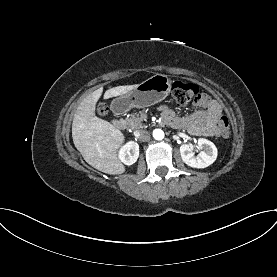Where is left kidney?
<instances>
[{"instance_id": "left-kidney-1", "label": "left kidney", "mask_w": 277, "mask_h": 277, "mask_svg": "<svg viewBox=\"0 0 277 277\" xmlns=\"http://www.w3.org/2000/svg\"><path fill=\"white\" fill-rule=\"evenodd\" d=\"M198 148L202 151L195 156L193 147L188 144L180 146V154L182 160L190 167L193 168H206L213 164L217 158V148L209 140L200 138L197 141Z\"/></svg>"}]
</instances>
